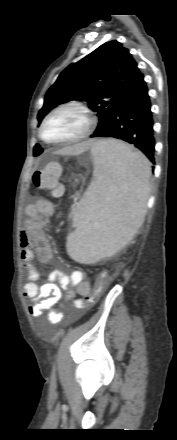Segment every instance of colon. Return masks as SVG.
I'll list each match as a JSON object with an SVG mask.
<instances>
[{
    "label": "colon",
    "mask_w": 177,
    "mask_h": 440,
    "mask_svg": "<svg viewBox=\"0 0 177 440\" xmlns=\"http://www.w3.org/2000/svg\"><path fill=\"white\" fill-rule=\"evenodd\" d=\"M61 167L56 163L49 164L44 170H37L32 175V182L35 187L49 191L53 196L58 197L63 193V187L59 182ZM102 288L97 286L91 294L84 298H74L72 308L74 311H81L83 305L93 304L100 296Z\"/></svg>",
    "instance_id": "1"
}]
</instances>
